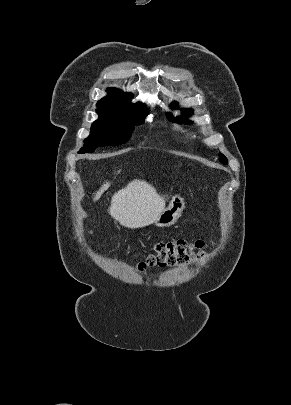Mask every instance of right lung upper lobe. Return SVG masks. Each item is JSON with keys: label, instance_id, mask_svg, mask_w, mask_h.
<instances>
[{"label": "right lung upper lobe", "instance_id": "1", "mask_svg": "<svg viewBox=\"0 0 291 405\" xmlns=\"http://www.w3.org/2000/svg\"><path fill=\"white\" fill-rule=\"evenodd\" d=\"M108 94L97 103L98 112H135L146 109L142 103L131 104L132 95L129 93L109 88Z\"/></svg>", "mask_w": 291, "mask_h": 405}]
</instances>
